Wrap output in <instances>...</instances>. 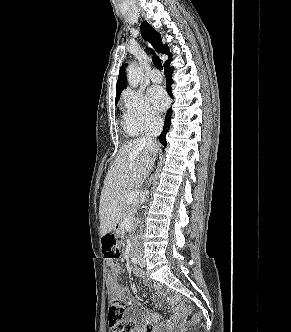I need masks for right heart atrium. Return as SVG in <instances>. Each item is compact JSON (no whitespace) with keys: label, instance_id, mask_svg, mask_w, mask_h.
Wrapping results in <instances>:
<instances>
[{"label":"right heart atrium","instance_id":"1","mask_svg":"<svg viewBox=\"0 0 291 332\" xmlns=\"http://www.w3.org/2000/svg\"><path fill=\"white\" fill-rule=\"evenodd\" d=\"M124 124L136 133L150 131L161 124V119L140 91L127 90L123 94Z\"/></svg>","mask_w":291,"mask_h":332}]
</instances>
